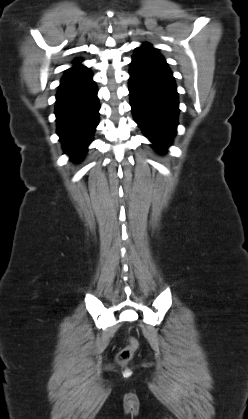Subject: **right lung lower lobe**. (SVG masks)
Instances as JSON below:
<instances>
[{"instance_id":"right-lung-lower-lobe-1","label":"right lung lower lobe","mask_w":248,"mask_h":419,"mask_svg":"<svg viewBox=\"0 0 248 419\" xmlns=\"http://www.w3.org/2000/svg\"><path fill=\"white\" fill-rule=\"evenodd\" d=\"M100 104L92 73L82 65L68 69L56 95L57 134L71 159H80L99 123Z\"/></svg>"}]
</instances>
